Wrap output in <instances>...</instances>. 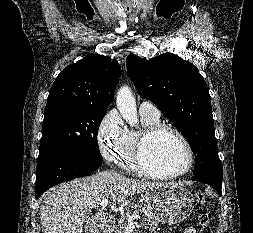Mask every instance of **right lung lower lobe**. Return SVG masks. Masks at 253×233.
Listing matches in <instances>:
<instances>
[{"instance_id":"1","label":"right lung lower lobe","mask_w":253,"mask_h":233,"mask_svg":"<svg viewBox=\"0 0 253 233\" xmlns=\"http://www.w3.org/2000/svg\"><path fill=\"white\" fill-rule=\"evenodd\" d=\"M101 163L102 160L64 153H50L38 158L36 199L54 185L91 174L100 167Z\"/></svg>"}]
</instances>
